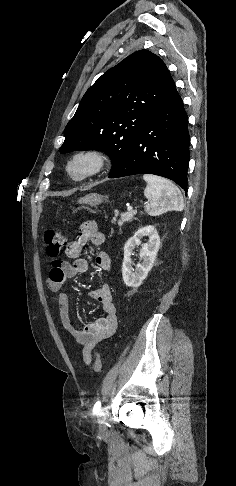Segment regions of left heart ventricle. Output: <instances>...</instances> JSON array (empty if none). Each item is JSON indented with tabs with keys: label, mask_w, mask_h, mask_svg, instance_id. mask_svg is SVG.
I'll use <instances>...</instances> for the list:
<instances>
[{
	"label": "left heart ventricle",
	"mask_w": 236,
	"mask_h": 486,
	"mask_svg": "<svg viewBox=\"0 0 236 486\" xmlns=\"http://www.w3.org/2000/svg\"><path fill=\"white\" fill-rule=\"evenodd\" d=\"M89 166H90V164H89L88 161H85V160L78 161L73 167V172L75 174H81V173L85 172L89 168Z\"/></svg>",
	"instance_id": "left-heart-ventricle-1"
}]
</instances>
